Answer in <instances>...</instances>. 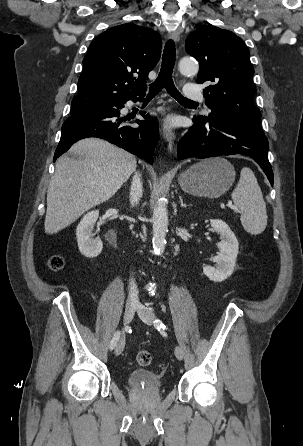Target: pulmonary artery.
<instances>
[{"instance_id": "obj_1", "label": "pulmonary artery", "mask_w": 303, "mask_h": 446, "mask_svg": "<svg viewBox=\"0 0 303 446\" xmlns=\"http://www.w3.org/2000/svg\"><path fill=\"white\" fill-rule=\"evenodd\" d=\"M185 96L190 100H203V94L195 84H187L185 86Z\"/></svg>"}]
</instances>
